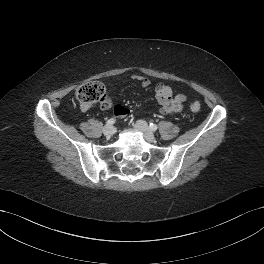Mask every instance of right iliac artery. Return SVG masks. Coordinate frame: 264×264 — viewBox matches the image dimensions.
Listing matches in <instances>:
<instances>
[{
  "instance_id": "1",
  "label": "right iliac artery",
  "mask_w": 264,
  "mask_h": 264,
  "mask_svg": "<svg viewBox=\"0 0 264 264\" xmlns=\"http://www.w3.org/2000/svg\"><path fill=\"white\" fill-rule=\"evenodd\" d=\"M115 123V119H109L107 122H106V124L107 125H111V124H114Z\"/></svg>"
}]
</instances>
